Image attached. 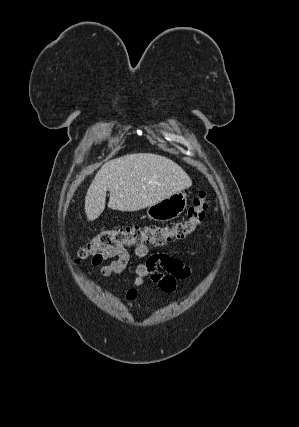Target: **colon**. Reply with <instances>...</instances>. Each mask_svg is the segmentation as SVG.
Here are the masks:
<instances>
[{
  "instance_id": "1",
  "label": "colon",
  "mask_w": 299,
  "mask_h": 427,
  "mask_svg": "<svg viewBox=\"0 0 299 427\" xmlns=\"http://www.w3.org/2000/svg\"><path fill=\"white\" fill-rule=\"evenodd\" d=\"M208 207L209 200L206 194L201 192L194 198L184 221L170 225H137L102 230L78 251L75 260H91L97 263L130 246H163L183 239L203 223Z\"/></svg>"
}]
</instances>
